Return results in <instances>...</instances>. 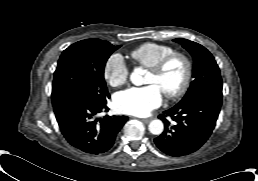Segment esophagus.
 Instances as JSON below:
<instances>
[{
    "label": "esophagus",
    "instance_id": "esophagus-1",
    "mask_svg": "<svg viewBox=\"0 0 258 181\" xmlns=\"http://www.w3.org/2000/svg\"><path fill=\"white\" fill-rule=\"evenodd\" d=\"M152 120V118H145V119H142V121L144 122V123H149L150 121Z\"/></svg>",
    "mask_w": 258,
    "mask_h": 181
}]
</instances>
